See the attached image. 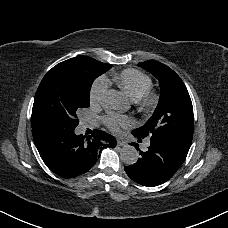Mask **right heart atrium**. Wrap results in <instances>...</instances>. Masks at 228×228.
<instances>
[{
    "label": "right heart atrium",
    "mask_w": 228,
    "mask_h": 228,
    "mask_svg": "<svg viewBox=\"0 0 228 228\" xmlns=\"http://www.w3.org/2000/svg\"><path fill=\"white\" fill-rule=\"evenodd\" d=\"M106 97V87L103 82H98L94 85L90 93V103L92 105H99L104 102Z\"/></svg>",
    "instance_id": "d8ad5b80"
}]
</instances>
